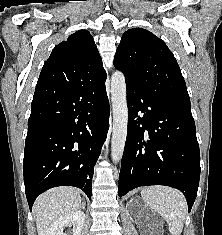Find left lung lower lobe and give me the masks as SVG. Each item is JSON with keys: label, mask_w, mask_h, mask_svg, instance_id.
<instances>
[{"label": "left lung lower lobe", "mask_w": 222, "mask_h": 235, "mask_svg": "<svg viewBox=\"0 0 222 235\" xmlns=\"http://www.w3.org/2000/svg\"><path fill=\"white\" fill-rule=\"evenodd\" d=\"M128 133L118 195L148 185L180 190L189 211L197 196L200 151L191 108L126 82Z\"/></svg>", "instance_id": "obj_1"}]
</instances>
